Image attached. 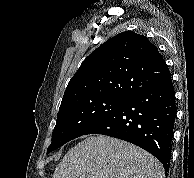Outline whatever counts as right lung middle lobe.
Instances as JSON below:
<instances>
[{
  "label": "right lung middle lobe",
  "instance_id": "dd1d6c3e",
  "mask_svg": "<svg viewBox=\"0 0 194 178\" xmlns=\"http://www.w3.org/2000/svg\"><path fill=\"white\" fill-rule=\"evenodd\" d=\"M126 101L127 99L116 97H90L71 101L60 107L47 153L84 135Z\"/></svg>",
  "mask_w": 194,
  "mask_h": 178
}]
</instances>
